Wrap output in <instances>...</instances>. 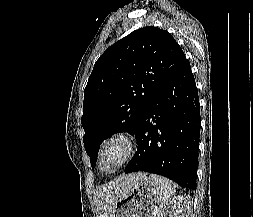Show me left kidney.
Here are the masks:
<instances>
[{
  "instance_id": "1",
  "label": "left kidney",
  "mask_w": 253,
  "mask_h": 217,
  "mask_svg": "<svg viewBox=\"0 0 253 217\" xmlns=\"http://www.w3.org/2000/svg\"><path fill=\"white\" fill-rule=\"evenodd\" d=\"M191 204L190 196L179 195L161 208L158 217H189Z\"/></svg>"
}]
</instances>
